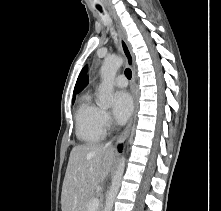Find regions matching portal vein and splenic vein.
Segmentation results:
<instances>
[{
  "label": "portal vein and splenic vein",
  "instance_id": "1",
  "mask_svg": "<svg viewBox=\"0 0 221 211\" xmlns=\"http://www.w3.org/2000/svg\"><path fill=\"white\" fill-rule=\"evenodd\" d=\"M100 204V200L98 198H93L88 206V211H97Z\"/></svg>",
  "mask_w": 221,
  "mask_h": 211
}]
</instances>
